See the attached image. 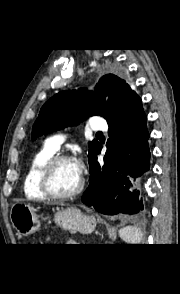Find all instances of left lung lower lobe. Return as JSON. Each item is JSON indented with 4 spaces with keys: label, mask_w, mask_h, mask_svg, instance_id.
<instances>
[{
    "label": "left lung lower lobe",
    "mask_w": 180,
    "mask_h": 294,
    "mask_svg": "<svg viewBox=\"0 0 180 294\" xmlns=\"http://www.w3.org/2000/svg\"><path fill=\"white\" fill-rule=\"evenodd\" d=\"M146 120L142 100L136 94L108 121L104 164L97 162L101 145L89 160L90 184L82 197L86 205L107 215L143 210L140 177L150 167Z\"/></svg>",
    "instance_id": "1"
}]
</instances>
